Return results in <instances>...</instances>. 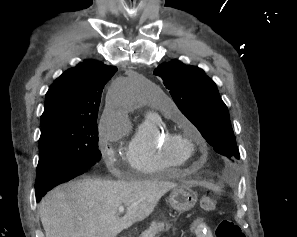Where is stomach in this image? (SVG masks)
Here are the masks:
<instances>
[{
    "label": "stomach",
    "mask_w": 297,
    "mask_h": 237,
    "mask_svg": "<svg viewBox=\"0 0 297 237\" xmlns=\"http://www.w3.org/2000/svg\"><path fill=\"white\" fill-rule=\"evenodd\" d=\"M197 201L196 193L187 187L181 186L172 190L169 203L178 212H186L194 207Z\"/></svg>",
    "instance_id": "0dacf381"
}]
</instances>
